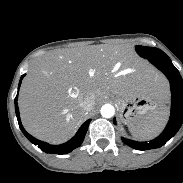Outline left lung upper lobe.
I'll return each instance as SVG.
<instances>
[{"label":"left lung upper lobe","instance_id":"1","mask_svg":"<svg viewBox=\"0 0 183 183\" xmlns=\"http://www.w3.org/2000/svg\"><path fill=\"white\" fill-rule=\"evenodd\" d=\"M137 53L146 59L166 55L162 50L153 47L136 46Z\"/></svg>","mask_w":183,"mask_h":183}]
</instances>
